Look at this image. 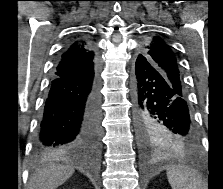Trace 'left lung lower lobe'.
Instances as JSON below:
<instances>
[{
	"label": "left lung lower lobe",
	"instance_id": "0a47b994",
	"mask_svg": "<svg viewBox=\"0 0 223 189\" xmlns=\"http://www.w3.org/2000/svg\"><path fill=\"white\" fill-rule=\"evenodd\" d=\"M135 118L139 132L158 125L179 142L193 147L198 142L186 94L151 64L136 60L133 83Z\"/></svg>",
	"mask_w": 223,
	"mask_h": 189
}]
</instances>
